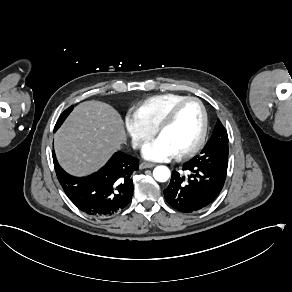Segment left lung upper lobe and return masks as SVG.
<instances>
[{
  "label": "left lung upper lobe",
  "mask_w": 292,
  "mask_h": 292,
  "mask_svg": "<svg viewBox=\"0 0 292 292\" xmlns=\"http://www.w3.org/2000/svg\"><path fill=\"white\" fill-rule=\"evenodd\" d=\"M228 152L227 131L218 119L210 140L201 153L194 158L208 164H222L227 166Z\"/></svg>",
  "instance_id": "left-lung-upper-lobe-1"
}]
</instances>
